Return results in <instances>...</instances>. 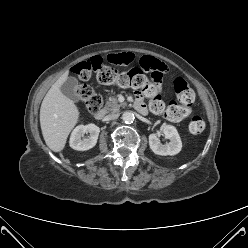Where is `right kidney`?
Returning <instances> with one entry per match:
<instances>
[{
    "label": "right kidney",
    "mask_w": 248,
    "mask_h": 248,
    "mask_svg": "<svg viewBox=\"0 0 248 248\" xmlns=\"http://www.w3.org/2000/svg\"><path fill=\"white\" fill-rule=\"evenodd\" d=\"M85 133H89L88 138H82ZM100 129L95 124L77 126L70 137V146L79 151H85L93 148L98 140Z\"/></svg>",
    "instance_id": "right-kidney-1"
}]
</instances>
